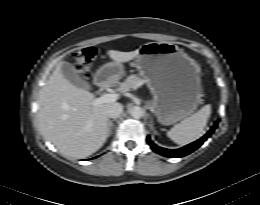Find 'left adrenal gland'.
<instances>
[{
    "instance_id": "a2214340",
    "label": "left adrenal gland",
    "mask_w": 260,
    "mask_h": 205,
    "mask_svg": "<svg viewBox=\"0 0 260 205\" xmlns=\"http://www.w3.org/2000/svg\"><path fill=\"white\" fill-rule=\"evenodd\" d=\"M151 129L153 130L154 134H157L156 130L153 127V120L151 119Z\"/></svg>"
}]
</instances>
